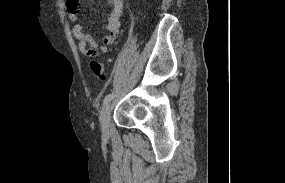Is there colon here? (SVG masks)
Returning <instances> with one entry per match:
<instances>
[{"instance_id": "colon-1", "label": "colon", "mask_w": 285, "mask_h": 183, "mask_svg": "<svg viewBox=\"0 0 285 183\" xmlns=\"http://www.w3.org/2000/svg\"><path fill=\"white\" fill-rule=\"evenodd\" d=\"M73 1L75 0H67V6L71 11L76 10L75 5H73ZM89 66L95 78H97L98 80H105V67L102 62L91 61Z\"/></svg>"}]
</instances>
